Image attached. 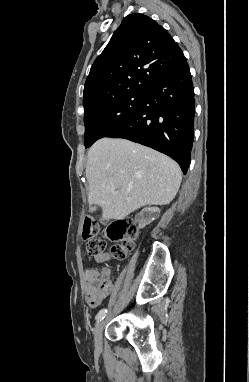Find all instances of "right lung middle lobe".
Instances as JSON below:
<instances>
[{"mask_svg":"<svg viewBox=\"0 0 249 382\" xmlns=\"http://www.w3.org/2000/svg\"><path fill=\"white\" fill-rule=\"evenodd\" d=\"M145 99L146 91H137L84 108L85 148L128 122L141 109Z\"/></svg>","mask_w":249,"mask_h":382,"instance_id":"dd1d6c3e","label":"right lung middle lobe"}]
</instances>
